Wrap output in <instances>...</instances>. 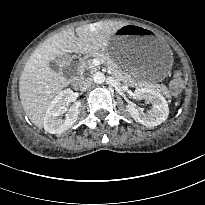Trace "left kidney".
Returning <instances> with one entry per match:
<instances>
[{
  "label": "left kidney",
  "instance_id": "5707ae66",
  "mask_svg": "<svg viewBox=\"0 0 205 205\" xmlns=\"http://www.w3.org/2000/svg\"><path fill=\"white\" fill-rule=\"evenodd\" d=\"M137 100H146L151 103V109L143 112L133 103L126 106L132 118L147 127H154L164 122L169 114V108L164 96L149 88H137L134 92Z\"/></svg>",
  "mask_w": 205,
  "mask_h": 205
}]
</instances>
